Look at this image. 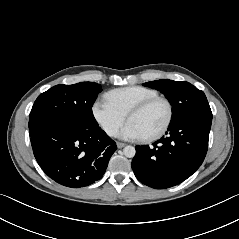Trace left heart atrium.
<instances>
[{"instance_id": "1", "label": "left heart atrium", "mask_w": 239, "mask_h": 239, "mask_svg": "<svg viewBox=\"0 0 239 239\" xmlns=\"http://www.w3.org/2000/svg\"><path fill=\"white\" fill-rule=\"evenodd\" d=\"M119 137L126 140H135L142 138V134L131 122H127L120 130Z\"/></svg>"}]
</instances>
